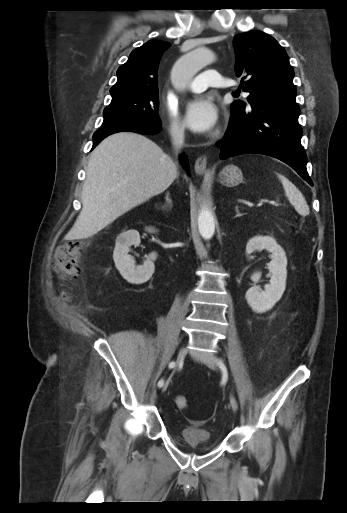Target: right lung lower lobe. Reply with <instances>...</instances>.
<instances>
[{"instance_id":"right-lung-lower-lobe-1","label":"right lung lower lobe","mask_w":347,"mask_h":513,"mask_svg":"<svg viewBox=\"0 0 347 513\" xmlns=\"http://www.w3.org/2000/svg\"><path fill=\"white\" fill-rule=\"evenodd\" d=\"M160 130V126L146 124L143 122L138 121H122V122H116L112 123L106 126H102L100 129H98L94 135H93V147L94 149L101 140H103L105 137L116 133V132H123V131H129V132H136L140 134H154ZM180 160L182 162L183 167L186 169L189 168L188 160L186 159L185 155L180 156Z\"/></svg>"}]
</instances>
